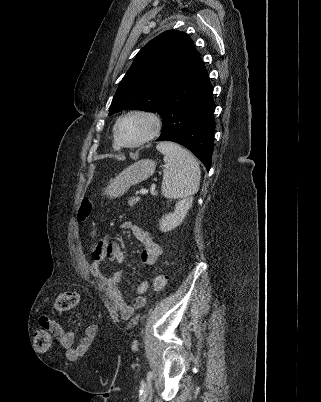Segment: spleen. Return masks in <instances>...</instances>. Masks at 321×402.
<instances>
[{
	"label": "spleen",
	"mask_w": 321,
	"mask_h": 402,
	"mask_svg": "<svg viewBox=\"0 0 321 402\" xmlns=\"http://www.w3.org/2000/svg\"><path fill=\"white\" fill-rule=\"evenodd\" d=\"M156 148L164 155L166 164L162 194L166 198L179 199L174 213L166 215L160 221L161 230L167 231L177 226L191 208L193 196L199 190L201 171L196 158L180 145L163 141Z\"/></svg>",
	"instance_id": "1"
}]
</instances>
